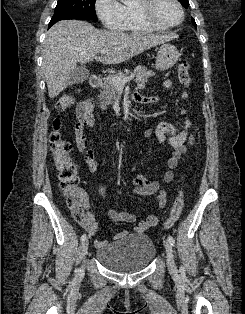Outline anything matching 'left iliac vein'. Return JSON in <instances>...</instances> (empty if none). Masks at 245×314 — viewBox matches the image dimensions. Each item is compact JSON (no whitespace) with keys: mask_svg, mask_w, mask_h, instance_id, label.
Segmentation results:
<instances>
[{"mask_svg":"<svg viewBox=\"0 0 245 314\" xmlns=\"http://www.w3.org/2000/svg\"><path fill=\"white\" fill-rule=\"evenodd\" d=\"M164 246H165V250H166V259H167L169 271L171 273H176L177 267H176L174 259H173V251H172L171 243L167 240L164 242Z\"/></svg>","mask_w":245,"mask_h":314,"instance_id":"left-iliac-vein-1","label":"left iliac vein"}]
</instances>
